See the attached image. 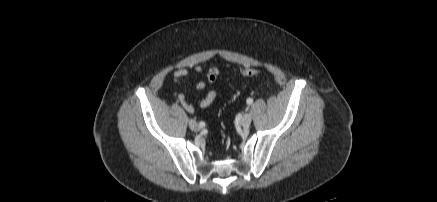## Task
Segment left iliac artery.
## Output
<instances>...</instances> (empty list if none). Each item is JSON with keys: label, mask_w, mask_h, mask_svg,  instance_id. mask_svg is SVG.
Returning <instances> with one entry per match:
<instances>
[{"label": "left iliac artery", "mask_w": 437, "mask_h": 202, "mask_svg": "<svg viewBox=\"0 0 437 202\" xmlns=\"http://www.w3.org/2000/svg\"><path fill=\"white\" fill-rule=\"evenodd\" d=\"M253 103V99L252 98H248L247 99V104L251 105Z\"/></svg>", "instance_id": "44dca946"}]
</instances>
